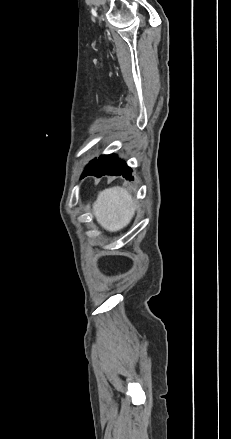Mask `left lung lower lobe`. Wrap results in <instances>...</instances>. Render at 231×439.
<instances>
[{
	"label": "left lung lower lobe",
	"mask_w": 231,
	"mask_h": 439,
	"mask_svg": "<svg viewBox=\"0 0 231 439\" xmlns=\"http://www.w3.org/2000/svg\"><path fill=\"white\" fill-rule=\"evenodd\" d=\"M131 173V168L123 160H119L116 155H102L98 160L95 159L93 164L83 172L81 178L88 175L97 177L111 175L123 176L126 179L132 180L133 176Z\"/></svg>",
	"instance_id": "obj_1"
}]
</instances>
